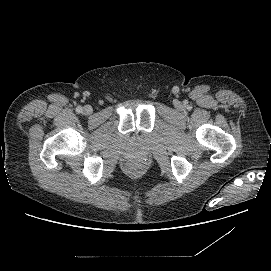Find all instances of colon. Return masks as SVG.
Masks as SVG:
<instances>
[{
  "label": "colon",
  "instance_id": "5ec220e1",
  "mask_svg": "<svg viewBox=\"0 0 271 271\" xmlns=\"http://www.w3.org/2000/svg\"><path fill=\"white\" fill-rule=\"evenodd\" d=\"M141 171V168L137 164H132L129 166V172L131 174H138Z\"/></svg>",
  "mask_w": 271,
  "mask_h": 271
}]
</instances>
